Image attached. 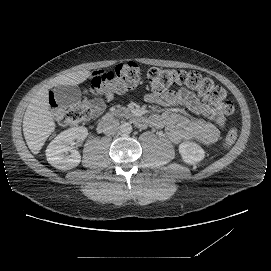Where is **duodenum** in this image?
I'll return each mask as SVG.
<instances>
[{"instance_id": "duodenum-1", "label": "duodenum", "mask_w": 271, "mask_h": 271, "mask_svg": "<svg viewBox=\"0 0 271 271\" xmlns=\"http://www.w3.org/2000/svg\"><path fill=\"white\" fill-rule=\"evenodd\" d=\"M126 117H129L133 120V122L138 126H145L146 119L141 116H136L131 113H125ZM117 126V122L115 116L113 114H107L101 118L98 123V131L104 134H111Z\"/></svg>"}]
</instances>
